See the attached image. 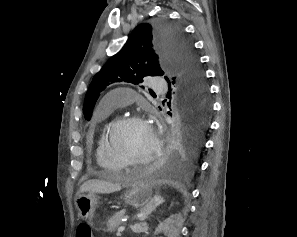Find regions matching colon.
Here are the masks:
<instances>
[{
	"mask_svg": "<svg viewBox=\"0 0 297 237\" xmlns=\"http://www.w3.org/2000/svg\"><path fill=\"white\" fill-rule=\"evenodd\" d=\"M76 237H92L89 225L82 223L76 229Z\"/></svg>",
	"mask_w": 297,
	"mask_h": 237,
	"instance_id": "5ec220e1",
	"label": "colon"
}]
</instances>
